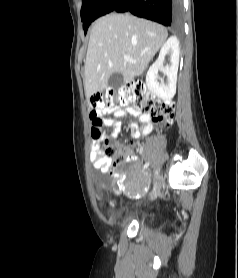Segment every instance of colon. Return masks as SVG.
<instances>
[{
    "label": "colon",
    "instance_id": "colon-1",
    "mask_svg": "<svg viewBox=\"0 0 238 278\" xmlns=\"http://www.w3.org/2000/svg\"><path fill=\"white\" fill-rule=\"evenodd\" d=\"M116 107L126 108L135 113L149 114L152 120L159 125H170L174 116L172 103L157 100L142 81H135L117 92L111 89L106 90L97 93L90 99L89 118L92 124L93 139H99L102 136L101 114ZM132 143L129 141V144ZM103 152L107 158L113 159V166H116L119 161L120 148L107 144ZM112 173L114 174V170Z\"/></svg>",
    "mask_w": 238,
    "mask_h": 278
}]
</instances>
